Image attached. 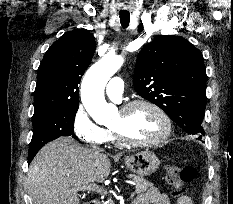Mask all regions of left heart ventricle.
<instances>
[{"label": "left heart ventricle", "mask_w": 233, "mask_h": 204, "mask_svg": "<svg viewBox=\"0 0 233 204\" xmlns=\"http://www.w3.org/2000/svg\"><path fill=\"white\" fill-rule=\"evenodd\" d=\"M111 127L133 141L155 139L164 130V124L159 116L150 108L144 106L135 107L125 114L118 111Z\"/></svg>", "instance_id": "left-heart-ventricle-1"}]
</instances>
